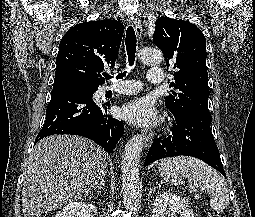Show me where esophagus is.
Instances as JSON below:
<instances>
[{
	"instance_id": "34e87169",
	"label": "esophagus",
	"mask_w": 255,
	"mask_h": 217,
	"mask_svg": "<svg viewBox=\"0 0 255 217\" xmlns=\"http://www.w3.org/2000/svg\"><path fill=\"white\" fill-rule=\"evenodd\" d=\"M130 23L133 25L136 35L139 39L142 38V25L141 22L139 20V18L135 15H132L130 17ZM143 136H144V144L146 147H149L152 142H153V138H154V132L153 131H149V130H144L143 132Z\"/></svg>"
}]
</instances>
